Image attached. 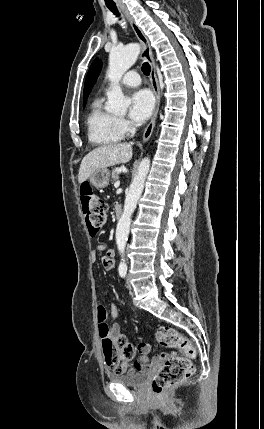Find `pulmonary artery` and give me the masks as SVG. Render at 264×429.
Masks as SVG:
<instances>
[{
    "mask_svg": "<svg viewBox=\"0 0 264 429\" xmlns=\"http://www.w3.org/2000/svg\"><path fill=\"white\" fill-rule=\"evenodd\" d=\"M121 83L125 86L135 87L141 83V79L136 71H129L122 77Z\"/></svg>",
    "mask_w": 264,
    "mask_h": 429,
    "instance_id": "obj_1",
    "label": "pulmonary artery"
}]
</instances>
